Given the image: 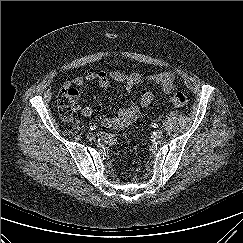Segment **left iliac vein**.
Returning <instances> with one entry per match:
<instances>
[{
  "instance_id": "left-iliac-vein-1",
  "label": "left iliac vein",
  "mask_w": 243,
  "mask_h": 243,
  "mask_svg": "<svg viewBox=\"0 0 243 243\" xmlns=\"http://www.w3.org/2000/svg\"><path fill=\"white\" fill-rule=\"evenodd\" d=\"M154 137L156 139H161L163 137V130L161 129H157L155 132H154Z\"/></svg>"
}]
</instances>
